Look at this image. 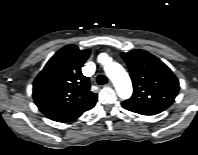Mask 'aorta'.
Instances as JSON below:
<instances>
[{"instance_id":"aorta-1","label":"aorta","mask_w":198,"mask_h":155,"mask_svg":"<svg viewBox=\"0 0 198 155\" xmlns=\"http://www.w3.org/2000/svg\"><path fill=\"white\" fill-rule=\"evenodd\" d=\"M104 56V70L107 76L113 82L117 94L122 99H128L132 95L131 80L125 69L116 62H107L108 57ZM101 60V57L99 58Z\"/></svg>"}]
</instances>
